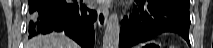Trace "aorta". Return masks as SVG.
<instances>
[{"instance_id":"762f6f07","label":"aorta","mask_w":213,"mask_h":48,"mask_svg":"<svg viewBox=\"0 0 213 48\" xmlns=\"http://www.w3.org/2000/svg\"><path fill=\"white\" fill-rule=\"evenodd\" d=\"M120 35V23L118 13L109 15L103 36V48H118Z\"/></svg>"}]
</instances>
